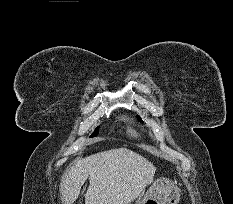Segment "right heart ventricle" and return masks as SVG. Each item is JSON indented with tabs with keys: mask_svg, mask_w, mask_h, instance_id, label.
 Instances as JSON below:
<instances>
[{
	"mask_svg": "<svg viewBox=\"0 0 233 204\" xmlns=\"http://www.w3.org/2000/svg\"><path fill=\"white\" fill-rule=\"evenodd\" d=\"M128 133L133 136L135 135V131H133L132 129H128Z\"/></svg>",
	"mask_w": 233,
	"mask_h": 204,
	"instance_id": "e07e8e85",
	"label": "right heart ventricle"
}]
</instances>
